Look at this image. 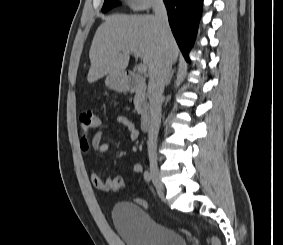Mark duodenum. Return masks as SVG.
<instances>
[{"label":"duodenum","mask_w":283,"mask_h":245,"mask_svg":"<svg viewBox=\"0 0 283 245\" xmlns=\"http://www.w3.org/2000/svg\"><path fill=\"white\" fill-rule=\"evenodd\" d=\"M121 88L124 91L136 93L140 103V126L143 131L150 128L151 114L147 101V87L144 80L137 74L127 72L121 82Z\"/></svg>","instance_id":"obj_1"}]
</instances>
